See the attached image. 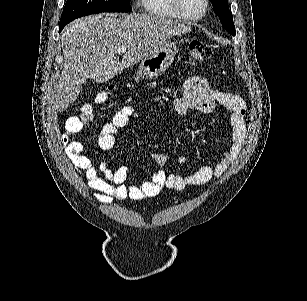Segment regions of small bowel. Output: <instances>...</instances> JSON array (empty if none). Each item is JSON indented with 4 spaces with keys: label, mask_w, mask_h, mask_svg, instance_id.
I'll list each match as a JSON object with an SVG mask.
<instances>
[{
    "label": "small bowel",
    "mask_w": 307,
    "mask_h": 301,
    "mask_svg": "<svg viewBox=\"0 0 307 301\" xmlns=\"http://www.w3.org/2000/svg\"><path fill=\"white\" fill-rule=\"evenodd\" d=\"M183 90L184 95L174 102L172 108L174 113L185 115L191 109L210 112L219 105L229 112L232 127L231 143L223 151V158L215 166H202L198 171L185 176L167 174L164 170H158L147 181L128 184L125 167L112 171L104 162L95 165L84 153V144L73 138L82 129L81 121L76 117L66 121L61 136L65 154L76 169L84 172L87 184L94 191L93 196L97 202L111 204L114 200L126 198L142 200L158 195L163 188L181 191L188 186L204 185L213 178L221 177L235 162L246 139L247 107L244 100L237 95L211 89L207 81L200 76L189 77L183 85ZM136 116L137 110L131 106L118 109L111 120L102 127L98 136L99 147L102 150L112 149L118 130ZM154 158L161 165L168 161V157L164 154H155ZM184 161L183 157H179L180 164Z\"/></svg>",
    "instance_id": "c3829d8e"
}]
</instances>
